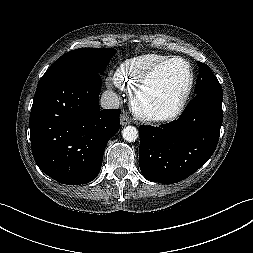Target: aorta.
Listing matches in <instances>:
<instances>
[{
    "label": "aorta",
    "instance_id": "aorta-1",
    "mask_svg": "<svg viewBox=\"0 0 253 253\" xmlns=\"http://www.w3.org/2000/svg\"><path fill=\"white\" fill-rule=\"evenodd\" d=\"M124 140L134 142L138 138V130L134 126H126L122 131Z\"/></svg>",
    "mask_w": 253,
    "mask_h": 253
}]
</instances>
